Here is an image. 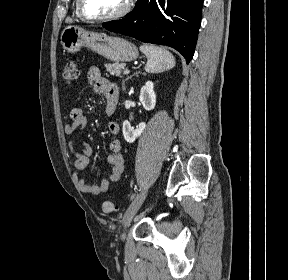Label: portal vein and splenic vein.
Wrapping results in <instances>:
<instances>
[{
	"mask_svg": "<svg viewBox=\"0 0 288 280\" xmlns=\"http://www.w3.org/2000/svg\"><path fill=\"white\" fill-rule=\"evenodd\" d=\"M124 74H129L130 73V71L128 70V69H126V70H124V72H123Z\"/></svg>",
	"mask_w": 288,
	"mask_h": 280,
	"instance_id": "1",
	"label": "portal vein and splenic vein"
}]
</instances>
